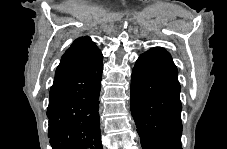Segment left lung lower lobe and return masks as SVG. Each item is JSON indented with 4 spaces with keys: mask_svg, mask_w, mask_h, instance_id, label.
<instances>
[{
    "mask_svg": "<svg viewBox=\"0 0 227 149\" xmlns=\"http://www.w3.org/2000/svg\"><path fill=\"white\" fill-rule=\"evenodd\" d=\"M178 71L164 48L138 58L131 78V113L142 149H182Z\"/></svg>",
    "mask_w": 227,
    "mask_h": 149,
    "instance_id": "1",
    "label": "left lung lower lobe"
}]
</instances>
